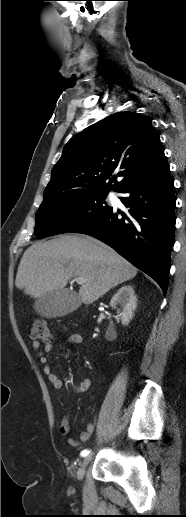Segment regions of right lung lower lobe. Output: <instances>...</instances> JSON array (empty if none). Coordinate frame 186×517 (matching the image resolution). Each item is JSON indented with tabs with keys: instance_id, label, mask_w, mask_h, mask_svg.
I'll return each mask as SVG.
<instances>
[{
	"instance_id": "right-lung-lower-lobe-1",
	"label": "right lung lower lobe",
	"mask_w": 186,
	"mask_h": 517,
	"mask_svg": "<svg viewBox=\"0 0 186 517\" xmlns=\"http://www.w3.org/2000/svg\"><path fill=\"white\" fill-rule=\"evenodd\" d=\"M129 216L111 208L74 233L93 236L114 248L162 288L168 287L170 254L174 245L176 198L169 165L120 191Z\"/></svg>"
}]
</instances>
